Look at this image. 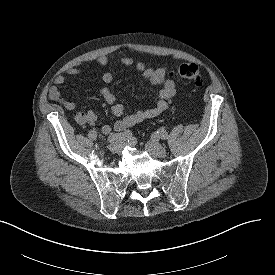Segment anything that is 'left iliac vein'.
I'll return each instance as SVG.
<instances>
[{"instance_id":"obj_1","label":"left iliac vein","mask_w":275,"mask_h":275,"mask_svg":"<svg viewBox=\"0 0 275 275\" xmlns=\"http://www.w3.org/2000/svg\"><path fill=\"white\" fill-rule=\"evenodd\" d=\"M145 149L154 157L166 156V149L157 140L148 141L145 144Z\"/></svg>"}]
</instances>
